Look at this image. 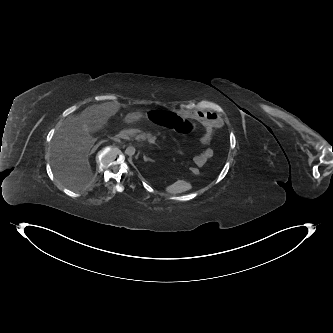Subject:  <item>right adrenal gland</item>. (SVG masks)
<instances>
[{
  "mask_svg": "<svg viewBox=\"0 0 333 333\" xmlns=\"http://www.w3.org/2000/svg\"><path fill=\"white\" fill-rule=\"evenodd\" d=\"M105 142H106V141H105ZM98 146H99V144L95 145V146L92 148V150H91L90 153H89V156H91V155L96 151V149L98 148Z\"/></svg>",
  "mask_w": 333,
  "mask_h": 333,
  "instance_id": "obj_1",
  "label": "right adrenal gland"
}]
</instances>
